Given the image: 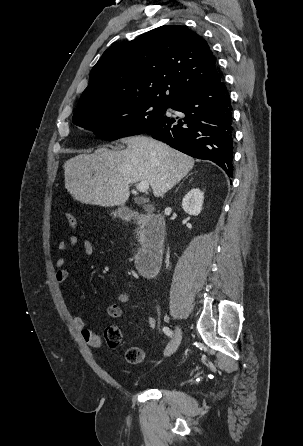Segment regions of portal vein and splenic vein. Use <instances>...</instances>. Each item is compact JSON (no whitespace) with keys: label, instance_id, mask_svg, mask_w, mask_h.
<instances>
[{"label":"portal vein and splenic vein","instance_id":"obj_1","mask_svg":"<svg viewBox=\"0 0 303 446\" xmlns=\"http://www.w3.org/2000/svg\"><path fill=\"white\" fill-rule=\"evenodd\" d=\"M136 188L139 192H147L149 189V183L147 181H141L136 184Z\"/></svg>","mask_w":303,"mask_h":446}]
</instances>
